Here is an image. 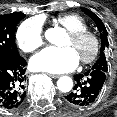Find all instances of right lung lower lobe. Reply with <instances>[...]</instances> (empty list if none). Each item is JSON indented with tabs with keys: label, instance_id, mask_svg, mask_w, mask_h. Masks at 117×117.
<instances>
[{
	"label": "right lung lower lobe",
	"instance_id": "1",
	"mask_svg": "<svg viewBox=\"0 0 117 117\" xmlns=\"http://www.w3.org/2000/svg\"><path fill=\"white\" fill-rule=\"evenodd\" d=\"M26 60L20 56H0V109H15L22 105L26 91Z\"/></svg>",
	"mask_w": 117,
	"mask_h": 117
}]
</instances>
